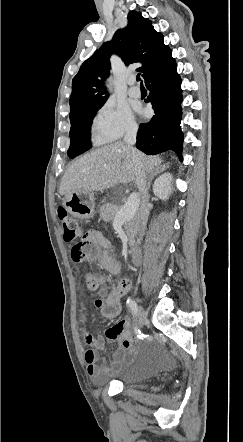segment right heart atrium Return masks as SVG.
<instances>
[{
	"label": "right heart atrium",
	"instance_id": "1",
	"mask_svg": "<svg viewBox=\"0 0 243 442\" xmlns=\"http://www.w3.org/2000/svg\"><path fill=\"white\" fill-rule=\"evenodd\" d=\"M137 122L131 110L113 101H106L97 111L93 132L105 142H115L136 133Z\"/></svg>",
	"mask_w": 243,
	"mask_h": 442
}]
</instances>
